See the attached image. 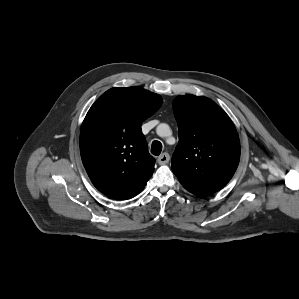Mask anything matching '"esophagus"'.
I'll list each match as a JSON object with an SVG mask.
<instances>
[{"label": "esophagus", "mask_w": 299, "mask_h": 299, "mask_svg": "<svg viewBox=\"0 0 299 299\" xmlns=\"http://www.w3.org/2000/svg\"><path fill=\"white\" fill-rule=\"evenodd\" d=\"M169 159H170L169 154H168V153H163V154H161V155L158 157L157 161H158V163H159L160 165H164V164H167V163L169 162Z\"/></svg>", "instance_id": "34e87169"}]
</instances>
